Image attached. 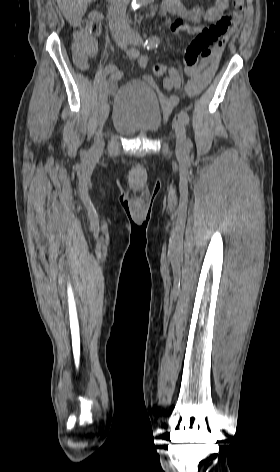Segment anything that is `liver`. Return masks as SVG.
<instances>
[{
  "mask_svg": "<svg viewBox=\"0 0 280 472\" xmlns=\"http://www.w3.org/2000/svg\"><path fill=\"white\" fill-rule=\"evenodd\" d=\"M65 19L72 25L78 26L87 11L88 4L94 0H56Z\"/></svg>",
  "mask_w": 280,
  "mask_h": 472,
  "instance_id": "6515ba94",
  "label": "liver"
}]
</instances>
